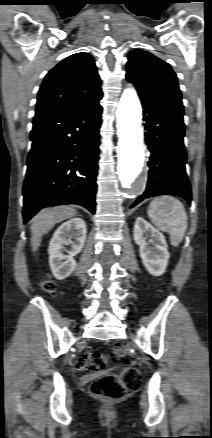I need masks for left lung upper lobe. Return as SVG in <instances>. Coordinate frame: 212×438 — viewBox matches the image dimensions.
<instances>
[{
  "instance_id": "left-lung-upper-lobe-1",
  "label": "left lung upper lobe",
  "mask_w": 212,
  "mask_h": 438,
  "mask_svg": "<svg viewBox=\"0 0 212 438\" xmlns=\"http://www.w3.org/2000/svg\"><path fill=\"white\" fill-rule=\"evenodd\" d=\"M126 78L139 96L183 108L176 74L168 63L153 54L136 49L129 53Z\"/></svg>"
}]
</instances>
